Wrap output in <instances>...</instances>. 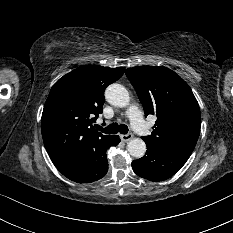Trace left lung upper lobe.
<instances>
[{"label": "left lung upper lobe", "instance_id": "5c2ea615", "mask_svg": "<svg viewBox=\"0 0 233 233\" xmlns=\"http://www.w3.org/2000/svg\"><path fill=\"white\" fill-rule=\"evenodd\" d=\"M126 75L144 107L155 114L151 135L142 139L159 146L193 151L200 134L201 114L188 84L166 67L128 68Z\"/></svg>", "mask_w": 233, "mask_h": 233}]
</instances>
